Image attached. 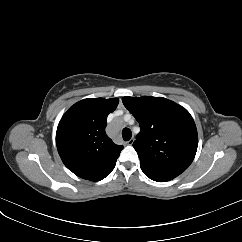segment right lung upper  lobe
Here are the masks:
<instances>
[{
    "instance_id": "cb5924a9",
    "label": "right lung upper lobe",
    "mask_w": 242,
    "mask_h": 242,
    "mask_svg": "<svg viewBox=\"0 0 242 242\" xmlns=\"http://www.w3.org/2000/svg\"><path fill=\"white\" fill-rule=\"evenodd\" d=\"M117 98H88L75 103L61 118L56 132L58 153L75 175L99 181L115 167L122 145L106 135L107 116L113 112Z\"/></svg>"
}]
</instances>
